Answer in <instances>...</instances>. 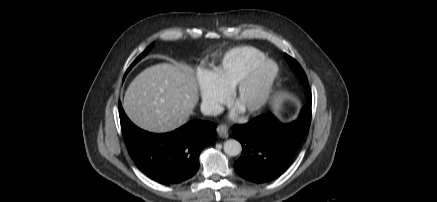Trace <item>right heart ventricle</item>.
<instances>
[{
    "mask_svg": "<svg viewBox=\"0 0 437 202\" xmlns=\"http://www.w3.org/2000/svg\"><path fill=\"white\" fill-rule=\"evenodd\" d=\"M265 55L251 46L236 47L224 54L213 75L228 91H231L257 62Z\"/></svg>",
    "mask_w": 437,
    "mask_h": 202,
    "instance_id": "right-heart-ventricle-1",
    "label": "right heart ventricle"
}]
</instances>
